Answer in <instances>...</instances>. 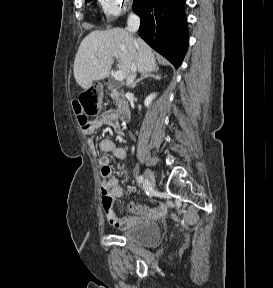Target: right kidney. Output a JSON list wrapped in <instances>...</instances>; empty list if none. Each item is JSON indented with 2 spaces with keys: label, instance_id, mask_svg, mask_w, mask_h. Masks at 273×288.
Returning <instances> with one entry per match:
<instances>
[{
  "label": "right kidney",
  "instance_id": "1",
  "mask_svg": "<svg viewBox=\"0 0 273 288\" xmlns=\"http://www.w3.org/2000/svg\"><path fill=\"white\" fill-rule=\"evenodd\" d=\"M156 94H150L148 97H146L145 101H144V105L145 107H149V105L151 104L152 100L155 98Z\"/></svg>",
  "mask_w": 273,
  "mask_h": 288
}]
</instances>
